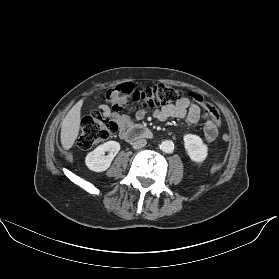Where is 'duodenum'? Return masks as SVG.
I'll list each match as a JSON object with an SVG mask.
<instances>
[{"label":"duodenum","instance_id":"obj_1","mask_svg":"<svg viewBox=\"0 0 279 279\" xmlns=\"http://www.w3.org/2000/svg\"><path fill=\"white\" fill-rule=\"evenodd\" d=\"M122 136L126 141L132 142L138 139H152L154 138V133L144 126L134 125L122 132Z\"/></svg>","mask_w":279,"mask_h":279}]
</instances>
